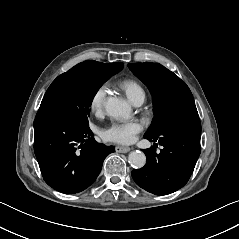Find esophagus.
I'll return each mask as SVG.
<instances>
[{
    "instance_id": "esophagus-1",
    "label": "esophagus",
    "mask_w": 239,
    "mask_h": 239,
    "mask_svg": "<svg viewBox=\"0 0 239 239\" xmlns=\"http://www.w3.org/2000/svg\"><path fill=\"white\" fill-rule=\"evenodd\" d=\"M130 150H131L130 147H120V146L115 147V151L118 153H128Z\"/></svg>"
}]
</instances>
